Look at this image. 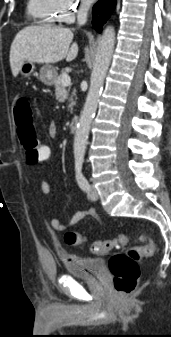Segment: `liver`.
Returning <instances> with one entry per match:
<instances>
[{
    "label": "liver",
    "mask_w": 171,
    "mask_h": 337,
    "mask_svg": "<svg viewBox=\"0 0 171 337\" xmlns=\"http://www.w3.org/2000/svg\"><path fill=\"white\" fill-rule=\"evenodd\" d=\"M73 32L68 28L31 26L19 31L10 48V66L14 77L25 61L56 63L70 62L77 57L78 45L72 43ZM71 45V46H70Z\"/></svg>",
    "instance_id": "6515ba94"
}]
</instances>
